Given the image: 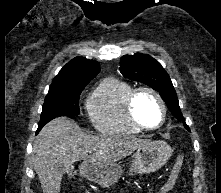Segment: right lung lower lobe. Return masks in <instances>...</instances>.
<instances>
[{
	"mask_svg": "<svg viewBox=\"0 0 221 193\" xmlns=\"http://www.w3.org/2000/svg\"><path fill=\"white\" fill-rule=\"evenodd\" d=\"M40 130H41V128H40V127H38L37 133H38Z\"/></svg>",
	"mask_w": 221,
	"mask_h": 193,
	"instance_id": "98d812e1",
	"label": "right lung lower lobe"
}]
</instances>
